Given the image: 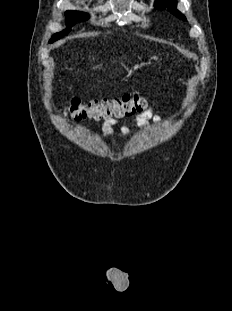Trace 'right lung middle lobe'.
I'll return each mask as SVG.
<instances>
[{
	"label": "right lung middle lobe",
	"mask_w": 232,
	"mask_h": 311,
	"mask_svg": "<svg viewBox=\"0 0 232 311\" xmlns=\"http://www.w3.org/2000/svg\"><path fill=\"white\" fill-rule=\"evenodd\" d=\"M65 16H66L67 29L63 30L59 33L54 34L53 37L51 38V40L49 41L50 43L58 40L59 38L64 36L67 32H69L71 30V27L77 21H84V20H87L89 18V16L86 13L79 12V11H66Z\"/></svg>",
	"instance_id": "obj_1"
}]
</instances>
